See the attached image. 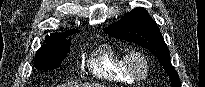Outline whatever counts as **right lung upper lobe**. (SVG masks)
<instances>
[{
	"label": "right lung upper lobe",
	"instance_id": "1",
	"mask_svg": "<svg viewBox=\"0 0 205 87\" xmlns=\"http://www.w3.org/2000/svg\"><path fill=\"white\" fill-rule=\"evenodd\" d=\"M79 30H68L66 32L63 33H52L50 35H47L45 37V42L46 43H56V42H60L66 39V37H68L69 35H72L76 32H78Z\"/></svg>",
	"mask_w": 205,
	"mask_h": 87
}]
</instances>
